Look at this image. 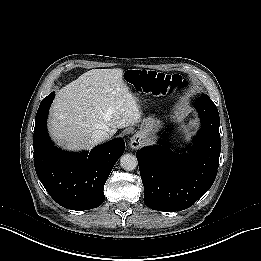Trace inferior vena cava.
Here are the masks:
<instances>
[{
  "mask_svg": "<svg viewBox=\"0 0 261 261\" xmlns=\"http://www.w3.org/2000/svg\"><path fill=\"white\" fill-rule=\"evenodd\" d=\"M110 137V134L107 131L104 130H95L92 133L91 139H92V143L94 145L100 144L106 140H108Z\"/></svg>",
  "mask_w": 261,
  "mask_h": 261,
  "instance_id": "1",
  "label": "inferior vena cava"
}]
</instances>
